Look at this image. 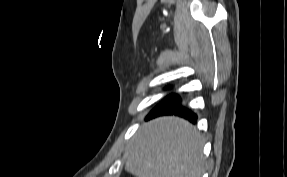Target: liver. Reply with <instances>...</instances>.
I'll use <instances>...</instances> for the list:
<instances>
[{
    "label": "liver",
    "instance_id": "6515ba94",
    "mask_svg": "<svg viewBox=\"0 0 287 177\" xmlns=\"http://www.w3.org/2000/svg\"><path fill=\"white\" fill-rule=\"evenodd\" d=\"M201 134L188 121L163 116L143 124L127 147L125 169L136 177H201Z\"/></svg>",
    "mask_w": 287,
    "mask_h": 177
}]
</instances>
